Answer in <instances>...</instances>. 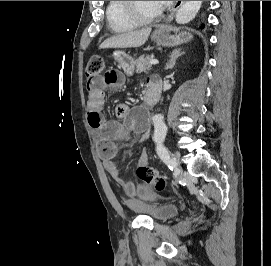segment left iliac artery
<instances>
[{"label": "left iliac artery", "instance_id": "1", "mask_svg": "<svg viewBox=\"0 0 271 266\" xmlns=\"http://www.w3.org/2000/svg\"><path fill=\"white\" fill-rule=\"evenodd\" d=\"M156 151L161 160L170 168H175V162L170 158L169 152L164 145L163 140H159L156 142Z\"/></svg>", "mask_w": 271, "mask_h": 266}]
</instances>
